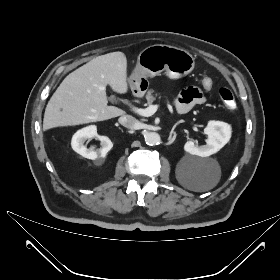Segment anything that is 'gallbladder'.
Here are the masks:
<instances>
[{"mask_svg":"<svg viewBox=\"0 0 280 280\" xmlns=\"http://www.w3.org/2000/svg\"><path fill=\"white\" fill-rule=\"evenodd\" d=\"M110 101H111V102H114V101H115V97H114V96H111V97H110Z\"/></svg>","mask_w":280,"mask_h":280,"instance_id":"1","label":"gallbladder"}]
</instances>
